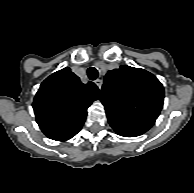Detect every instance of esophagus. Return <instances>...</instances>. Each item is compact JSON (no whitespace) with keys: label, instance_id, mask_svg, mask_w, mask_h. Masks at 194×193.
<instances>
[{"label":"esophagus","instance_id":"esophagus-1","mask_svg":"<svg viewBox=\"0 0 194 193\" xmlns=\"http://www.w3.org/2000/svg\"><path fill=\"white\" fill-rule=\"evenodd\" d=\"M95 84L101 90L103 81L101 79H97V80H95Z\"/></svg>","mask_w":194,"mask_h":193}]
</instances>
